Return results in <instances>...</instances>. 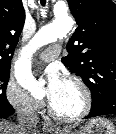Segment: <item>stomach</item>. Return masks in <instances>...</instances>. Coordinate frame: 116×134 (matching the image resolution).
I'll use <instances>...</instances> for the list:
<instances>
[{
    "instance_id": "obj_1",
    "label": "stomach",
    "mask_w": 116,
    "mask_h": 134,
    "mask_svg": "<svg viewBox=\"0 0 116 134\" xmlns=\"http://www.w3.org/2000/svg\"><path fill=\"white\" fill-rule=\"evenodd\" d=\"M60 134H116V130L109 120L94 118L86 122L80 130L73 131L72 128H67Z\"/></svg>"
}]
</instances>
